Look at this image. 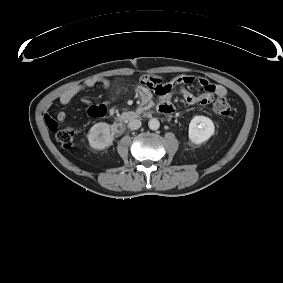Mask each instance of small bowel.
Here are the masks:
<instances>
[{
    "instance_id": "1",
    "label": "small bowel",
    "mask_w": 283,
    "mask_h": 283,
    "mask_svg": "<svg viewBox=\"0 0 283 283\" xmlns=\"http://www.w3.org/2000/svg\"><path fill=\"white\" fill-rule=\"evenodd\" d=\"M195 82L203 89L202 93L193 94L186 89L187 86H190ZM174 85L180 86L179 93L189 105H207L215 98H223L227 95V91L224 86L211 83L203 77L196 78L190 75H180L170 81L161 77L146 75L140 79L139 91L147 98H150L151 90H153L157 95L159 111L165 113V109L172 108L171 100L174 95L172 87ZM97 86L107 89L111 86V82L105 77L98 76L87 78L82 83L63 92L59 97V103L63 106L69 105L78 95ZM83 102L87 105L88 99L84 97ZM86 111L87 114L92 117L102 116L106 113V104L102 103L98 106L88 107ZM66 117V112L64 110H60L55 116L46 114L44 120L47 127L52 130L57 127L59 122L65 121Z\"/></svg>"
}]
</instances>
